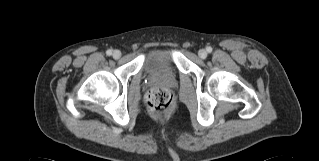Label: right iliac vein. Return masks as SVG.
Returning <instances> with one entry per match:
<instances>
[{"label": "right iliac vein", "instance_id": "obj_1", "mask_svg": "<svg viewBox=\"0 0 319 161\" xmlns=\"http://www.w3.org/2000/svg\"><path fill=\"white\" fill-rule=\"evenodd\" d=\"M113 58L118 59L121 57V52L119 50H115L112 54Z\"/></svg>", "mask_w": 319, "mask_h": 161}]
</instances>
